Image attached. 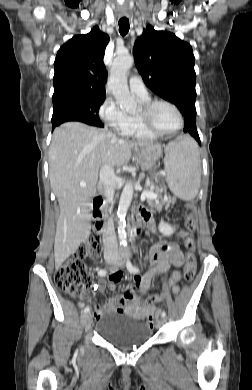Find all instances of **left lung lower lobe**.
Instances as JSON below:
<instances>
[{"mask_svg":"<svg viewBox=\"0 0 252 390\" xmlns=\"http://www.w3.org/2000/svg\"><path fill=\"white\" fill-rule=\"evenodd\" d=\"M185 126L184 132L190 133L200 144V138L196 128V115H187L184 118Z\"/></svg>","mask_w":252,"mask_h":390,"instance_id":"obj_1","label":"left lung lower lobe"}]
</instances>
